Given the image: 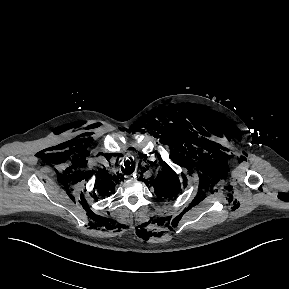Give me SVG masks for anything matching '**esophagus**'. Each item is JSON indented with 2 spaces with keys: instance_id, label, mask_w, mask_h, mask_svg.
Returning <instances> with one entry per match:
<instances>
[{
  "instance_id": "1",
  "label": "esophagus",
  "mask_w": 289,
  "mask_h": 289,
  "mask_svg": "<svg viewBox=\"0 0 289 289\" xmlns=\"http://www.w3.org/2000/svg\"><path fill=\"white\" fill-rule=\"evenodd\" d=\"M129 177H130V178H133V177L135 178L134 174H133V175H130Z\"/></svg>"
}]
</instances>
